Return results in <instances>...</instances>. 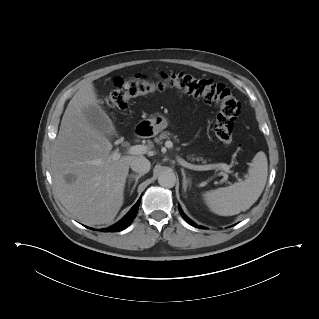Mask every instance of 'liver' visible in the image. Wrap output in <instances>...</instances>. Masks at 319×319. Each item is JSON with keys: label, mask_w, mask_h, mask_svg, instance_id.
I'll list each match as a JSON object with an SVG mask.
<instances>
[{"label": "liver", "mask_w": 319, "mask_h": 319, "mask_svg": "<svg viewBox=\"0 0 319 319\" xmlns=\"http://www.w3.org/2000/svg\"><path fill=\"white\" fill-rule=\"evenodd\" d=\"M93 83L81 87L70 100L51 151V174L62 205L85 225L109 224L124 202L130 163L138 156L113 160L112 144L93 127L84 111L98 105ZM108 117V116H107ZM111 121V120H110ZM74 176L71 182L66 176Z\"/></svg>", "instance_id": "6515ba94"}]
</instances>
